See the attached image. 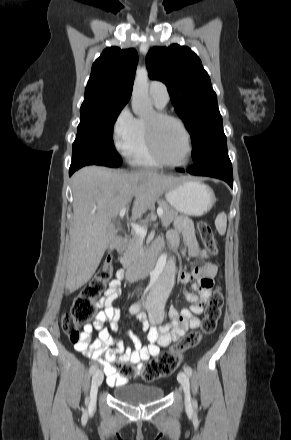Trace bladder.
Wrapping results in <instances>:
<instances>
[{
  "label": "bladder",
  "instance_id": "1",
  "mask_svg": "<svg viewBox=\"0 0 291 440\" xmlns=\"http://www.w3.org/2000/svg\"><path fill=\"white\" fill-rule=\"evenodd\" d=\"M113 396L121 402L140 405L160 400L164 390L152 384H128L114 388Z\"/></svg>",
  "mask_w": 291,
  "mask_h": 440
}]
</instances>
